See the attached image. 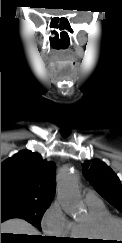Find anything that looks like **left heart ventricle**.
Instances as JSON below:
<instances>
[{"mask_svg":"<svg viewBox=\"0 0 122 243\" xmlns=\"http://www.w3.org/2000/svg\"><path fill=\"white\" fill-rule=\"evenodd\" d=\"M107 235L110 237H122V226L119 224H113L107 231Z\"/></svg>","mask_w":122,"mask_h":243,"instance_id":"1","label":"left heart ventricle"}]
</instances>
